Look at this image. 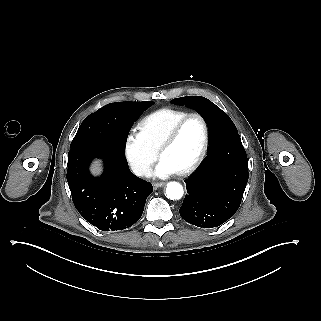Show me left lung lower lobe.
Wrapping results in <instances>:
<instances>
[{
	"mask_svg": "<svg viewBox=\"0 0 321 321\" xmlns=\"http://www.w3.org/2000/svg\"><path fill=\"white\" fill-rule=\"evenodd\" d=\"M248 178V160L239 134L210 142L208 155L185 180L188 194L180 216L201 228L223 224L239 208Z\"/></svg>",
	"mask_w": 321,
	"mask_h": 321,
	"instance_id": "obj_1",
	"label": "left lung lower lobe"
}]
</instances>
